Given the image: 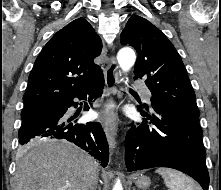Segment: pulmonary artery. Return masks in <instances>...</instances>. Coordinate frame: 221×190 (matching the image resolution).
<instances>
[{
  "label": "pulmonary artery",
  "instance_id": "pulmonary-artery-1",
  "mask_svg": "<svg viewBox=\"0 0 221 190\" xmlns=\"http://www.w3.org/2000/svg\"><path fill=\"white\" fill-rule=\"evenodd\" d=\"M133 85H134L135 87H138V88H143V83H142L140 80H136V81L133 83ZM145 97H146L147 99H150L151 93H150L149 91H146V92H145Z\"/></svg>",
  "mask_w": 221,
  "mask_h": 190
}]
</instances>
